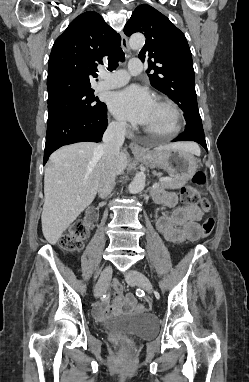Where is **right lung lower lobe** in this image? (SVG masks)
<instances>
[{
	"mask_svg": "<svg viewBox=\"0 0 249 382\" xmlns=\"http://www.w3.org/2000/svg\"><path fill=\"white\" fill-rule=\"evenodd\" d=\"M107 127V107L93 117L80 116L61 120L47 126L44 164L58 148L76 142H100Z\"/></svg>",
	"mask_w": 249,
	"mask_h": 382,
	"instance_id": "obj_1",
	"label": "right lung lower lobe"
}]
</instances>
